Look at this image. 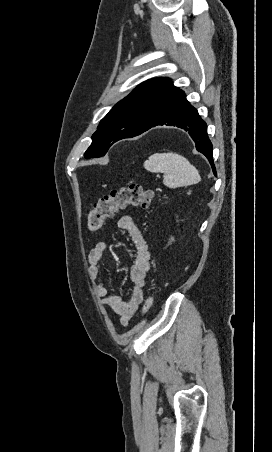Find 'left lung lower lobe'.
Wrapping results in <instances>:
<instances>
[{
    "label": "left lung lower lobe",
    "instance_id": "0a47b994",
    "mask_svg": "<svg viewBox=\"0 0 272 452\" xmlns=\"http://www.w3.org/2000/svg\"><path fill=\"white\" fill-rule=\"evenodd\" d=\"M159 125L176 126L187 131L195 142L196 150L207 157L213 173L216 175L212 156V143L207 135V125L201 119L197 110L187 101L185 93L182 90L179 89L175 93L158 115L155 122L145 131Z\"/></svg>",
    "mask_w": 272,
    "mask_h": 452
}]
</instances>
